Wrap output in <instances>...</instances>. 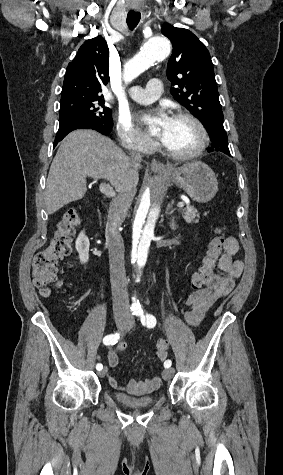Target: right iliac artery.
I'll return each instance as SVG.
<instances>
[{
    "instance_id": "82829eb1",
    "label": "right iliac artery",
    "mask_w": 283,
    "mask_h": 475,
    "mask_svg": "<svg viewBox=\"0 0 283 475\" xmlns=\"http://www.w3.org/2000/svg\"><path fill=\"white\" fill-rule=\"evenodd\" d=\"M120 339V334L119 333H115V334H111V335H107L104 337L103 339V343L105 345H114L118 342V340ZM96 369L98 371L102 370L103 369V365L102 364H97L96 365Z\"/></svg>"
}]
</instances>
